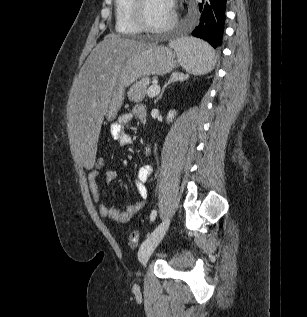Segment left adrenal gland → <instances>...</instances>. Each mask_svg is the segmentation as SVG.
<instances>
[{
    "label": "left adrenal gland",
    "instance_id": "left-adrenal-gland-1",
    "mask_svg": "<svg viewBox=\"0 0 307 317\" xmlns=\"http://www.w3.org/2000/svg\"><path fill=\"white\" fill-rule=\"evenodd\" d=\"M188 77V75H184L183 73H178V72H174L172 73V75L170 76L168 82L163 86L162 88V91L160 93V95L156 98L155 100V103H157L163 96L164 92H165V89L172 83H175V82H182L184 80H186Z\"/></svg>",
    "mask_w": 307,
    "mask_h": 317
}]
</instances>
